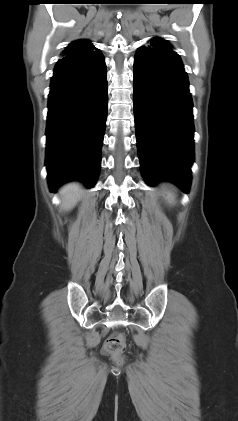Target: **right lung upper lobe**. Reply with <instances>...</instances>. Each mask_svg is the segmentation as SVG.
I'll return each instance as SVG.
<instances>
[{
    "instance_id": "right-lung-upper-lobe-1",
    "label": "right lung upper lobe",
    "mask_w": 238,
    "mask_h": 421,
    "mask_svg": "<svg viewBox=\"0 0 238 421\" xmlns=\"http://www.w3.org/2000/svg\"><path fill=\"white\" fill-rule=\"evenodd\" d=\"M89 53L99 54L101 52L87 40L74 41L63 51L64 56L86 55Z\"/></svg>"
}]
</instances>
